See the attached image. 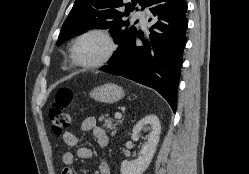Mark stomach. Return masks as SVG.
<instances>
[{"label": "stomach", "mask_w": 249, "mask_h": 174, "mask_svg": "<svg viewBox=\"0 0 249 174\" xmlns=\"http://www.w3.org/2000/svg\"><path fill=\"white\" fill-rule=\"evenodd\" d=\"M90 96L99 102L114 103L122 99L125 96V92L122 87L113 83H107L94 88L91 91Z\"/></svg>", "instance_id": "1"}]
</instances>
